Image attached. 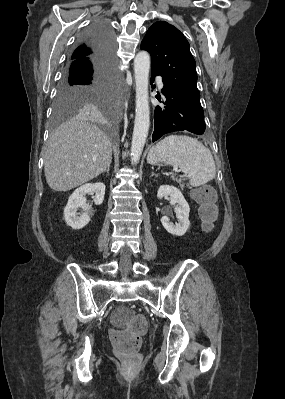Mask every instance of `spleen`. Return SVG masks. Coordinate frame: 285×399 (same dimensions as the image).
Listing matches in <instances>:
<instances>
[{
    "label": "spleen",
    "mask_w": 285,
    "mask_h": 399,
    "mask_svg": "<svg viewBox=\"0 0 285 399\" xmlns=\"http://www.w3.org/2000/svg\"><path fill=\"white\" fill-rule=\"evenodd\" d=\"M154 150L164 164L179 167L189 176L194 187L204 185L216 175V167L210 150L200 141L186 135H170L159 141Z\"/></svg>",
    "instance_id": "spleen-1"
}]
</instances>
